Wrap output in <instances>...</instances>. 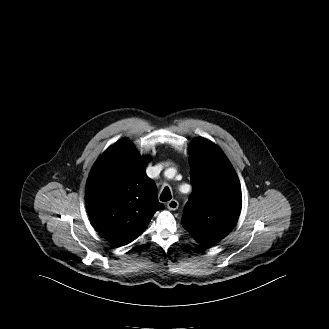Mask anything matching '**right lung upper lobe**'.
Returning a JSON list of instances; mask_svg holds the SVG:
<instances>
[{
    "instance_id": "obj_1",
    "label": "right lung upper lobe",
    "mask_w": 329,
    "mask_h": 329,
    "mask_svg": "<svg viewBox=\"0 0 329 329\" xmlns=\"http://www.w3.org/2000/svg\"><path fill=\"white\" fill-rule=\"evenodd\" d=\"M147 161L129 140L121 139L100 156L88 177L85 202L91 223L118 246L136 239L164 208L154 181L146 175Z\"/></svg>"
}]
</instances>
